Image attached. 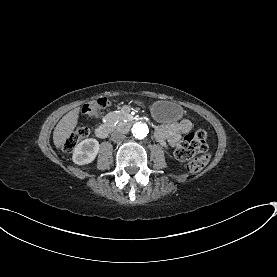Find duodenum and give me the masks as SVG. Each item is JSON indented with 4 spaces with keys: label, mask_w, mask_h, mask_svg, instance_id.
<instances>
[{
    "label": "duodenum",
    "mask_w": 277,
    "mask_h": 277,
    "mask_svg": "<svg viewBox=\"0 0 277 277\" xmlns=\"http://www.w3.org/2000/svg\"><path fill=\"white\" fill-rule=\"evenodd\" d=\"M132 123L131 119H126L122 122L119 123L118 128L120 130H125L127 129ZM110 126L107 124H100L99 126L96 127L95 129V134L98 138H105L108 133L110 132Z\"/></svg>",
    "instance_id": "obj_1"
}]
</instances>
